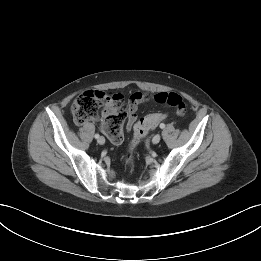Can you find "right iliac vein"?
Listing matches in <instances>:
<instances>
[{
    "mask_svg": "<svg viewBox=\"0 0 261 261\" xmlns=\"http://www.w3.org/2000/svg\"><path fill=\"white\" fill-rule=\"evenodd\" d=\"M97 142L100 144V145H103L105 143V138L103 136L99 137Z\"/></svg>",
    "mask_w": 261,
    "mask_h": 261,
    "instance_id": "63e3f726",
    "label": "right iliac vein"
}]
</instances>
